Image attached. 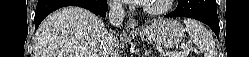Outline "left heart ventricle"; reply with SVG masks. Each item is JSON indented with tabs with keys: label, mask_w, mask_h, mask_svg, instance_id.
Listing matches in <instances>:
<instances>
[{
	"label": "left heart ventricle",
	"mask_w": 249,
	"mask_h": 57,
	"mask_svg": "<svg viewBox=\"0 0 249 57\" xmlns=\"http://www.w3.org/2000/svg\"><path fill=\"white\" fill-rule=\"evenodd\" d=\"M164 2V0H157V1H150L149 3L153 4V5H160Z\"/></svg>",
	"instance_id": "b2bd125f"
}]
</instances>
